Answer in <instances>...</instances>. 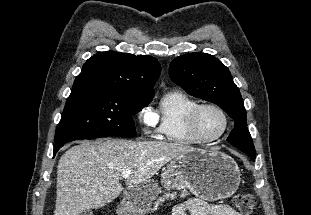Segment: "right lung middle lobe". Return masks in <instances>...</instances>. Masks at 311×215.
Segmentation results:
<instances>
[{
  "label": "right lung middle lobe",
  "instance_id": "1",
  "mask_svg": "<svg viewBox=\"0 0 311 215\" xmlns=\"http://www.w3.org/2000/svg\"><path fill=\"white\" fill-rule=\"evenodd\" d=\"M152 96L134 95L94 87L72 89L54 142L120 135L136 137L132 115L148 105Z\"/></svg>",
  "mask_w": 311,
  "mask_h": 215
}]
</instances>
